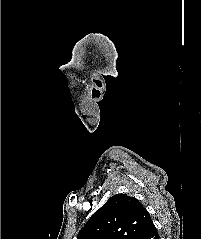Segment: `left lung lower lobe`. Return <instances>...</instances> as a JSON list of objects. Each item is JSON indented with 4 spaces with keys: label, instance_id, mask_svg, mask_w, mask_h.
I'll return each instance as SVG.
<instances>
[{
    "label": "left lung lower lobe",
    "instance_id": "0a47b994",
    "mask_svg": "<svg viewBox=\"0 0 201 239\" xmlns=\"http://www.w3.org/2000/svg\"><path fill=\"white\" fill-rule=\"evenodd\" d=\"M139 239H160L157 229L152 221L148 225L146 231L139 237Z\"/></svg>",
    "mask_w": 201,
    "mask_h": 239
}]
</instances>
